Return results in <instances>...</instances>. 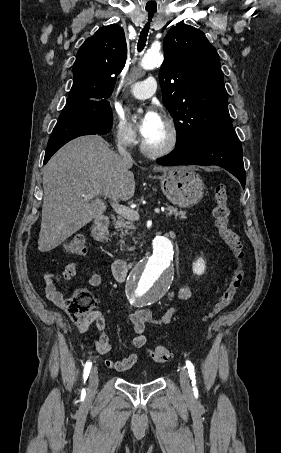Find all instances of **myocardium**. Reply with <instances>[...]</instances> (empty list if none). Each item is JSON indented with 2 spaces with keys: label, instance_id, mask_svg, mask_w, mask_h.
<instances>
[{
  "label": "myocardium",
  "instance_id": "obj_1",
  "mask_svg": "<svg viewBox=\"0 0 281 453\" xmlns=\"http://www.w3.org/2000/svg\"><path fill=\"white\" fill-rule=\"evenodd\" d=\"M163 123L169 133V142L161 148H152L147 144L145 138L142 137L140 140L139 148L145 156L151 158H160L171 154L175 150L179 140L177 127L168 119L163 120Z\"/></svg>",
  "mask_w": 281,
  "mask_h": 453
}]
</instances>
